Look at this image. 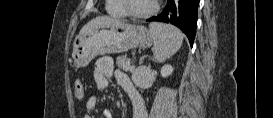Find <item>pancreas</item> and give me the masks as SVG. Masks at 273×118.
<instances>
[{"label": "pancreas", "mask_w": 273, "mask_h": 118, "mask_svg": "<svg viewBox=\"0 0 273 118\" xmlns=\"http://www.w3.org/2000/svg\"><path fill=\"white\" fill-rule=\"evenodd\" d=\"M116 64L119 68L123 69L124 71L132 72L133 67L130 65V59L127 58L126 55H121L117 58Z\"/></svg>", "instance_id": "cf45deb5"}]
</instances>
